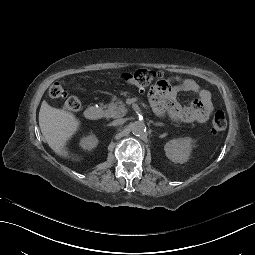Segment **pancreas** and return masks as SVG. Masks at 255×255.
Here are the masks:
<instances>
[{
  "label": "pancreas",
  "mask_w": 255,
  "mask_h": 255,
  "mask_svg": "<svg viewBox=\"0 0 255 255\" xmlns=\"http://www.w3.org/2000/svg\"><path fill=\"white\" fill-rule=\"evenodd\" d=\"M127 113L126 108L124 107V102L123 101H115L111 102L106 109V116L110 118H121Z\"/></svg>",
  "instance_id": "pancreas-1"
}]
</instances>
